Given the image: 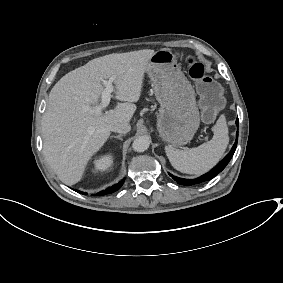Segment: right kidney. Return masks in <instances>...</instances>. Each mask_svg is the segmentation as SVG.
<instances>
[{
    "label": "right kidney",
    "mask_w": 283,
    "mask_h": 283,
    "mask_svg": "<svg viewBox=\"0 0 283 283\" xmlns=\"http://www.w3.org/2000/svg\"><path fill=\"white\" fill-rule=\"evenodd\" d=\"M111 165V158L108 156L102 157L95 161V166L98 170H105Z\"/></svg>",
    "instance_id": "obj_1"
}]
</instances>
